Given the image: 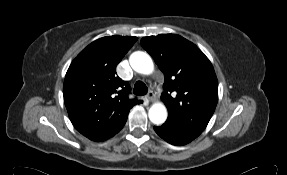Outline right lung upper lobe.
Instances as JSON below:
<instances>
[{
    "label": "right lung upper lobe",
    "instance_id": "1",
    "mask_svg": "<svg viewBox=\"0 0 287 175\" xmlns=\"http://www.w3.org/2000/svg\"><path fill=\"white\" fill-rule=\"evenodd\" d=\"M137 37L108 36L89 44L71 63L63 95L77 131L93 141H105L124 126L130 109L141 103L129 99L130 87L115 72Z\"/></svg>",
    "mask_w": 287,
    "mask_h": 175
}]
</instances>
